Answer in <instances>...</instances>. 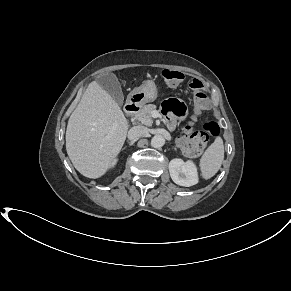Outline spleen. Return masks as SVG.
<instances>
[{
	"instance_id": "3e777b00",
	"label": "spleen",
	"mask_w": 291,
	"mask_h": 291,
	"mask_svg": "<svg viewBox=\"0 0 291 291\" xmlns=\"http://www.w3.org/2000/svg\"><path fill=\"white\" fill-rule=\"evenodd\" d=\"M224 160V144L221 137H216L214 142L206 149L200 159L201 174L204 179H210L220 169Z\"/></svg>"
}]
</instances>
